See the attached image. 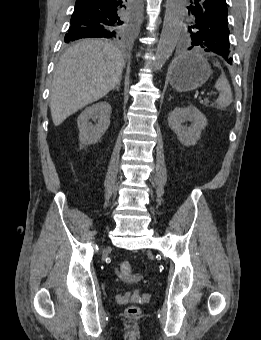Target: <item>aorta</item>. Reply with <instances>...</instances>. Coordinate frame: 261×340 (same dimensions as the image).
I'll list each match as a JSON object with an SVG mask.
<instances>
[{"instance_id": "aorta-1", "label": "aorta", "mask_w": 261, "mask_h": 340, "mask_svg": "<svg viewBox=\"0 0 261 340\" xmlns=\"http://www.w3.org/2000/svg\"><path fill=\"white\" fill-rule=\"evenodd\" d=\"M186 0H166V11L153 69L160 70L172 55L182 28Z\"/></svg>"}]
</instances>
